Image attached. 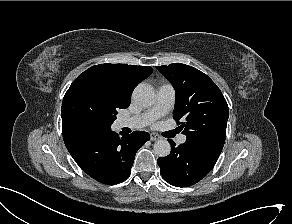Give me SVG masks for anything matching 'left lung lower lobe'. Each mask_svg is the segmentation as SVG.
<instances>
[{
    "label": "left lung lower lobe",
    "instance_id": "left-lung-lower-lobe-1",
    "mask_svg": "<svg viewBox=\"0 0 292 224\" xmlns=\"http://www.w3.org/2000/svg\"><path fill=\"white\" fill-rule=\"evenodd\" d=\"M171 144L167 157L159 158L161 175L171 185L187 187L202 180L214 167L219 156L203 150L193 144L183 143L176 147Z\"/></svg>",
    "mask_w": 292,
    "mask_h": 224
}]
</instances>
